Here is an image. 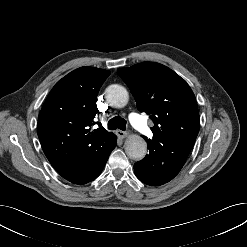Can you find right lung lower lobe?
Instances as JSON below:
<instances>
[{"label":"right lung lower lobe","instance_id":"right-lung-lower-lobe-1","mask_svg":"<svg viewBox=\"0 0 247 247\" xmlns=\"http://www.w3.org/2000/svg\"><path fill=\"white\" fill-rule=\"evenodd\" d=\"M114 136L103 148L58 170L66 180L75 184H86L100 175L112 150L116 147Z\"/></svg>","mask_w":247,"mask_h":247}]
</instances>
